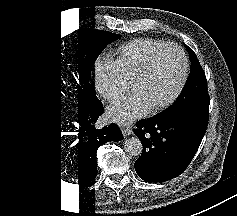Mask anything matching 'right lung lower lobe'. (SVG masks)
<instances>
[{"label":"right lung lower lobe","instance_id":"right-lung-lower-lobe-1","mask_svg":"<svg viewBox=\"0 0 237 216\" xmlns=\"http://www.w3.org/2000/svg\"><path fill=\"white\" fill-rule=\"evenodd\" d=\"M104 112L100 100L92 102L85 111H78L79 126L76 140L78 184L86 183L97 176L96 152L97 149L108 141H120L123 135L117 125L111 124L102 129H92L91 123H96L97 118ZM76 124V123H75ZM77 126V124H76Z\"/></svg>","mask_w":237,"mask_h":216}]
</instances>
